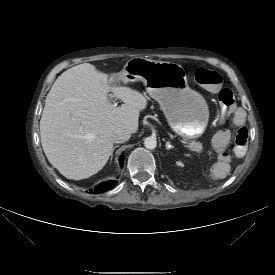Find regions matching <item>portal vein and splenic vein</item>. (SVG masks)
Here are the masks:
<instances>
[{"mask_svg": "<svg viewBox=\"0 0 275 275\" xmlns=\"http://www.w3.org/2000/svg\"><path fill=\"white\" fill-rule=\"evenodd\" d=\"M196 150L199 152V151H201V150H202V147H201V146L196 147Z\"/></svg>", "mask_w": 275, "mask_h": 275, "instance_id": "1", "label": "portal vein and splenic vein"}]
</instances>
